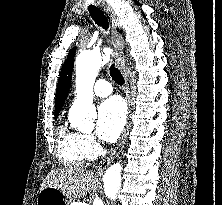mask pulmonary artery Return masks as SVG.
Returning <instances> with one entry per match:
<instances>
[{"label": "pulmonary artery", "mask_w": 222, "mask_h": 205, "mask_svg": "<svg viewBox=\"0 0 222 205\" xmlns=\"http://www.w3.org/2000/svg\"><path fill=\"white\" fill-rule=\"evenodd\" d=\"M93 92L98 97H107L112 93V87L106 80H98L94 85Z\"/></svg>", "instance_id": "obj_1"}]
</instances>
